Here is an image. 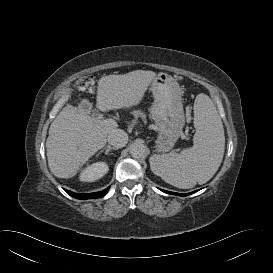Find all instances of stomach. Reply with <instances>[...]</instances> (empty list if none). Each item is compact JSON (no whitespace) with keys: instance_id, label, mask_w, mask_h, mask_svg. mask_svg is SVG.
I'll use <instances>...</instances> for the list:
<instances>
[{"instance_id":"1","label":"stomach","mask_w":273,"mask_h":273,"mask_svg":"<svg viewBox=\"0 0 273 273\" xmlns=\"http://www.w3.org/2000/svg\"><path fill=\"white\" fill-rule=\"evenodd\" d=\"M150 86L154 97L150 114L158 128L156 148L166 152L174 147L185 124L182 90L176 79L163 72L156 75Z\"/></svg>"}]
</instances>
